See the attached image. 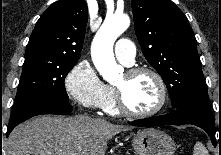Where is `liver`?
Returning a JSON list of instances; mask_svg holds the SVG:
<instances>
[{
	"label": "liver",
	"instance_id": "liver-1",
	"mask_svg": "<svg viewBox=\"0 0 221 155\" xmlns=\"http://www.w3.org/2000/svg\"><path fill=\"white\" fill-rule=\"evenodd\" d=\"M129 129L87 115L38 116L11 132L5 155H105L107 141Z\"/></svg>",
	"mask_w": 221,
	"mask_h": 155
}]
</instances>
